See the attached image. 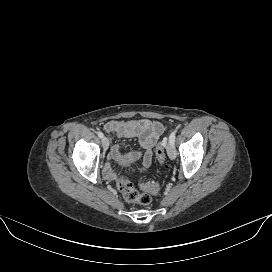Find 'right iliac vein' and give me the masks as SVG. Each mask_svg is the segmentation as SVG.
I'll list each match as a JSON object with an SVG mask.
<instances>
[{
    "label": "right iliac vein",
    "instance_id": "1",
    "mask_svg": "<svg viewBox=\"0 0 272 272\" xmlns=\"http://www.w3.org/2000/svg\"><path fill=\"white\" fill-rule=\"evenodd\" d=\"M102 146H103V148H104L105 150L108 149V147H109V139H108L107 137H103V138H102Z\"/></svg>",
    "mask_w": 272,
    "mask_h": 272
}]
</instances>
